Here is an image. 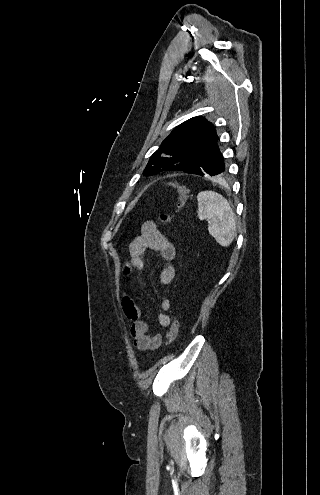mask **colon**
Here are the masks:
<instances>
[{"label":"colon","mask_w":320,"mask_h":495,"mask_svg":"<svg viewBox=\"0 0 320 495\" xmlns=\"http://www.w3.org/2000/svg\"><path fill=\"white\" fill-rule=\"evenodd\" d=\"M169 187L175 190L178 196V210L182 209L188 200L189 190L188 188L179 182L167 183ZM160 221L165 224L170 221L171 216L168 214H161L159 216ZM180 329V323L177 317H174L171 322L169 331L167 333V345H171L175 342L178 337Z\"/></svg>","instance_id":"5ec220e1"}]
</instances>
